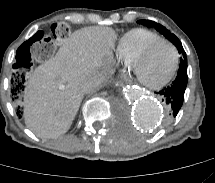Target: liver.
Masks as SVG:
<instances>
[{
    "mask_svg": "<svg viewBox=\"0 0 215 183\" xmlns=\"http://www.w3.org/2000/svg\"><path fill=\"white\" fill-rule=\"evenodd\" d=\"M116 34L108 27H85L73 32L54 57L27 76L24 120L41 138L65 134L79 110L85 81L103 78L112 58Z\"/></svg>",
    "mask_w": 215,
    "mask_h": 183,
    "instance_id": "1",
    "label": "liver"
}]
</instances>
